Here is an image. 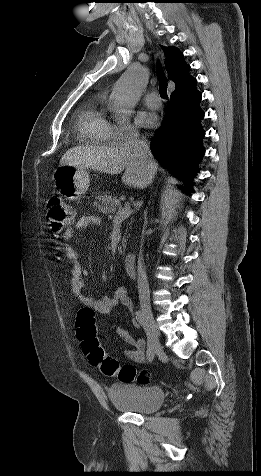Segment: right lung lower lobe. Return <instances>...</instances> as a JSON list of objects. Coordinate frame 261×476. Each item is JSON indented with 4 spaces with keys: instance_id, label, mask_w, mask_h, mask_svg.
<instances>
[{
    "instance_id": "1",
    "label": "right lung lower lobe",
    "mask_w": 261,
    "mask_h": 476,
    "mask_svg": "<svg viewBox=\"0 0 261 476\" xmlns=\"http://www.w3.org/2000/svg\"><path fill=\"white\" fill-rule=\"evenodd\" d=\"M196 83L191 77L171 94L168 111L150 146L159 163L189 185L199 172L197 165L205 152L202 146L204 112Z\"/></svg>"
}]
</instances>
